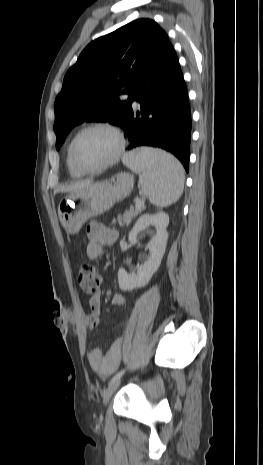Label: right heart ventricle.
I'll return each mask as SVG.
<instances>
[{
    "mask_svg": "<svg viewBox=\"0 0 263 465\" xmlns=\"http://www.w3.org/2000/svg\"><path fill=\"white\" fill-rule=\"evenodd\" d=\"M69 146H70V144L67 146V150H66V159H65L67 169H68L69 174H70L71 177H73V178H80V177H82L84 174L81 173V172H79V171L74 167V165L72 164L71 159H70V154H69Z\"/></svg>",
    "mask_w": 263,
    "mask_h": 465,
    "instance_id": "e07e8e85",
    "label": "right heart ventricle"
}]
</instances>
